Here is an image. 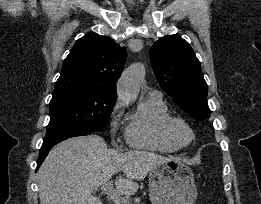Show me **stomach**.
<instances>
[{"mask_svg": "<svg viewBox=\"0 0 261 204\" xmlns=\"http://www.w3.org/2000/svg\"><path fill=\"white\" fill-rule=\"evenodd\" d=\"M152 204H194L197 187L192 170L184 162L170 159L149 172Z\"/></svg>", "mask_w": 261, "mask_h": 204, "instance_id": "stomach-1", "label": "stomach"}]
</instances>
